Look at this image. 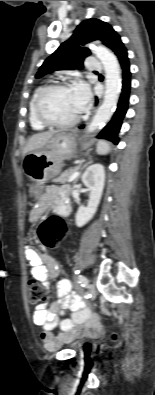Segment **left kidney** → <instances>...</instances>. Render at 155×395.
Returning a JSON list of instances; mask_svg holds the SVG:
<instances>
[{
  "label": "left kidney",
  "mask_w": 155,
  "mask_h": 395,
  "mask_svg": "<svg viewBox=\"0 0 155 395\" xmlns=\"http://www.w3.org/2000/svg\"><path fill=\"white\" fill-rule=\"evenodd\" d=\"M82 182L91 192L87 207L80 206L75 215L77 227L84 226L97 211L105 185L104 166L99 163L89 166L82 175Z\"/></svg>",
  "instance_id": "1"
}]
</instances>
